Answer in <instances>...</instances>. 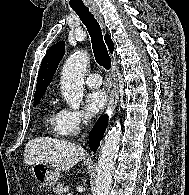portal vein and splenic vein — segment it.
<instances>
[{
  "label": "portal vein and splenic vein",
  "instance_id": "obj_1",
  "mask_svg": "<svg viewBox=\"0 0 189 195\" xmlns=\"http://www.w3.org/2000/svg\"><path fill=\"white\" fill-rule=\"evenodd\" d=\"M67 195H72V193H68Z\"/></svg>",
  "mask_w": 189,
  "mask_h": 195
}]
</instances>
